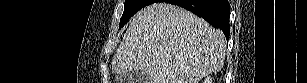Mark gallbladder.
<instances>
[{
	"instance_id": "gallbladder-1",
	"label": "gallbladder",
	"mask_w": 307,
	"mask_h": 83,
	"mask_svg": "<svg viewBox=\"0 0 307 83\" xmlns=\"http://www.w3.org/2000/svg\"><path fill=\"white\" fill-rule=\"evenodd\" d=\"M118 82L121 83H148L149 76L144 71H133L122 75Z\"/></svg>"
}]
</instances>
